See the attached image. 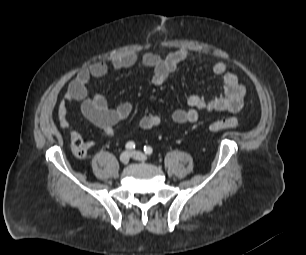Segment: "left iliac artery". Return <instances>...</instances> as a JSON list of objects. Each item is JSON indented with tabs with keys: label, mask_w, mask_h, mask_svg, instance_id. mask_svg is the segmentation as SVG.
I'll return each mask as SVG.
<instances>
[{
	"label": "left iliac artery",
	"mask_w": 306,
	"mask_h": 255,
	"mask_svg": "<svg viewBox=\"0 0 306 255\" xmlns=\"http://www.w3.org/2000/svg\"><path fill=\"white\" fill-rule=\"evenodd\" d=\"M144 152L147 155H151L153 153V149L150 146H144Z\"/></svg>",
	"instance_id": "44dca946"
}]
</instances>
